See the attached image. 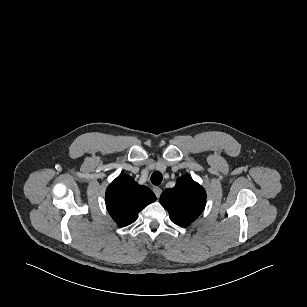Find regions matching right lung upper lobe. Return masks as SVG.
Returning a JSON list of instances; mask_svg holds the SVG:
<instances>
[{
  "mask_svg": "<svg viewBox=\"0 0 307 307\" xmlns=\"http://www.w3.org/2000/svg\"><path fill=\"white\" fill-rule=\"evenodd\" d=\"M156 200L146 186L138 185L127 175L117 177L106 190V207L119 226H127L138 218V213Z\"/></svg>",
  "mask_w": 307,
  "mask_h": 307,
  "instance_id": "obj_1",
  "label": "right lung upper lobe"
}]
</instances>
